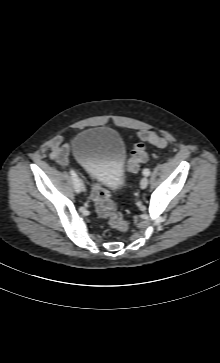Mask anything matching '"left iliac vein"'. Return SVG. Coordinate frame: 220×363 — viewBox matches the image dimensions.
I'll return each mask as SVG.
<instances>
[{"label": "left iliac vein", "mask_w": 220, "mask_h": 363, "mask_svg": "<svg viewBox=\"0 0 220 363\" xmlns=\"http://www.w3.org/2000/svg\"><path fill=\"white\" fill-rule=\"evenodd\" d=\"M148 186V179L146 177H143L140 181V187L142 189H145Z\"/></svg>", "instance_id": "left-iliac-vein-1"}]
</instances>
